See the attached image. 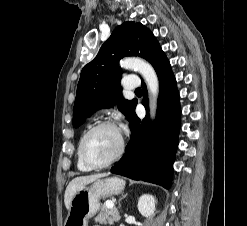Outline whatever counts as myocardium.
Here are the masks:
<instances>
[{"label": "myocardium", "instance_id": "1", "mask_svg": "<svg viewBox=\"0 0 247 226\" xmlns=\"http://www.w3.org/2000/svg\"><path fill=\"white\" fill-rule=\"evenodd\" d=\"M101 128H112V129L116 130L119 133L120 143H119V148H118L117 152L115 153V155L112 158H110L108 161H106L104 163L94 164V163H91L86 158L85 153H84V144H85L87 137L91 133H93L94 131L101 129ZM78 150H79V156H80L81 161L90 169L106 168V167L112 165L113 163H115L116 161H118L123 156L124 151H125V140H124V137H123L119 127L117 126V124L114 121L104 120V121H100V122L96 123L95 125L90 127L83 134V136L81 137L80 142H79Z\"/></svg>", "mask_w": 247, "mask_h": 226}]
</instances>
